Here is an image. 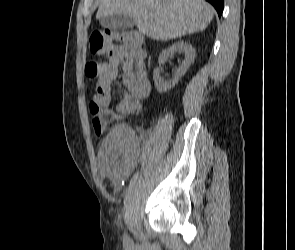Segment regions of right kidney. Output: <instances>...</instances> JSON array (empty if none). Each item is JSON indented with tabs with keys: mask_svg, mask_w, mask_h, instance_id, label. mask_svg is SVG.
<instances>
[{
	"mask_svg": "<svg viewBox=\"0 0 295 250\" xmlns=\"http://www.w3.org/2000/svg\"><path fill=\"white\" fill-rule=\"evenodd\" d=\"M182 53L185 55V59L182 64L175 70L174 76L169 81H164L160 76V68H157L153 72V79L156 89L160 93H165L173 88L179 81V79L186 73L191 63L194 61L196 52L195 49L186 41H178L170 46L168 49L162 51L159 55V66L163 65L170 56L174 53Z\"/></svg>",
	"mask_w": 295,
	"mask_h": 250,
	"instance_id": "ca27d5eb",
	"label": "right kidney"
}]
</instances>
